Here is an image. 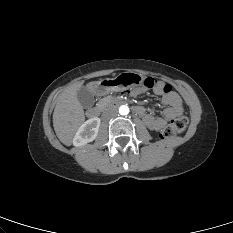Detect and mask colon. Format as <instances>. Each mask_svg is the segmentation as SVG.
I'll use <instances>...</instances> for the list:
<instances>
[{
	"label": "colon",
	"mask_w": 233,
	"mask_h": 233,
	"mask_svg": "<svg viewBox=\"0 0 233 233\" xmlns=\"http://www.w3.org/2000/svg\"><path fill=\"white\" fill-rule=\"evenodd\" d=\"M143 85H144V87L149 88V89H153V88L159 86L163 92H168L171 89V86L169 84L158 81L154 78H146L143 81ZM127 92L132 93L133 90L128 89ZM187 125H188V120L186 117L181 116V117L175 118L174 120L171 121V123L169 125H167L163 129L161 136H162V138H165V139L171 138L176 133L183 132L186 129Z\"/></svg>",
	"instance_id": "5ec220e1"
}]
</instances>
